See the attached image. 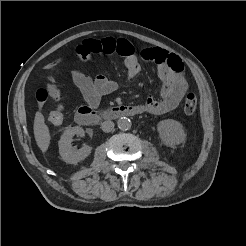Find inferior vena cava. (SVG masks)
Wrapping results in <instances>:
<instances>
[{"instance_id":"1","label":"inferior vena cava","mask_w":246,"mask_h":246,"mask_svg":"<svg viewBox=\"0 0 246 246\" xmlns=\"http://www.w3.org/2000/svg\"><path fill=\"white\" fill-rule=\"evenodd\" d=\"M101 128L104 132H111L114 129V123L110 120L104 121Z\"/></svg>"}]
</instances>
